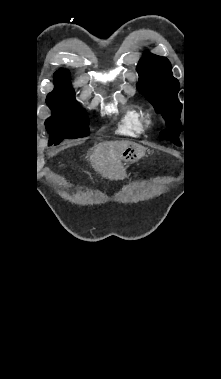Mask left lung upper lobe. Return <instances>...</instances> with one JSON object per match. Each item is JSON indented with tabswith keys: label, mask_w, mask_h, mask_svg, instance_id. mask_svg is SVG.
Here are the masks:
<instances>
[{
	"label": "left lung upper lobe",
	"mask_w": 221,
	"mask_h": 379,
	"mask_svg": "<svg viewBox=\"0 0 221 379\" xmlns=\"http://www.w3.org/2000/svg\"><path fill=\"white\" fill-rule=\"evenodd\" d=\"M172 67L165 57L145 53L137 65L138 90L151 102L155 110L164 117L167 126L160 137L181 145L180 113L182 105L177 98L179 82L172 76Z\"/></svg>",
	"instance_id": "5c2ea615"
}]
</instances>
